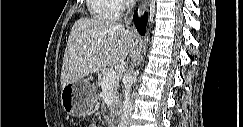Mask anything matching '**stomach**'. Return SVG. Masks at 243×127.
Returning a JSON list of instances; mask_svg holds the SVG:
<instances>
[{"label":"stomach","mask_w":243,"mask_h":127,"mask_svg":"<svg viewBox=\"0 0 243 127\" xmlns=\"http://www.w3.org/2000/svg\"><path fill=\"white\" fill-rule=\"evenodd\" d=\"M97 100L96 87L88 80L71 82L61 90V105L71 116H87Z\"/></svg>","instance_id":"obj_1"}]
</instances>
